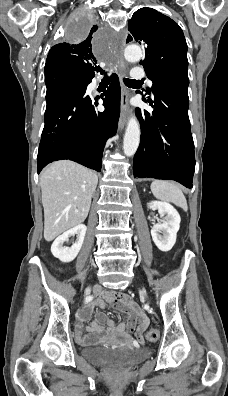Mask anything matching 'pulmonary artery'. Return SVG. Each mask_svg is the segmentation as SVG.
I'll use <instances>...</instances> for the list:
<instances>
[{
  "instance_id": "obj_1",
  "label": "pulmonary artery",
  "mask_w": 228,
  "mask_h": 396,
  "mask_svg": "<svg viewBox=\"0 0 228 396\" xmlns=\"http://www.w3.org/2000/svg\"><path fill=\"white\" fill-rule=\"evenodd\" d=\"M131 75H132V77H133L134 79H142V78H145L144 70H143L141 67H136V68H134V69L132 70ZM147 83H148L149 85L152 84V82H151L150 79H147Z\"/></svg>"
}]
</instances>
